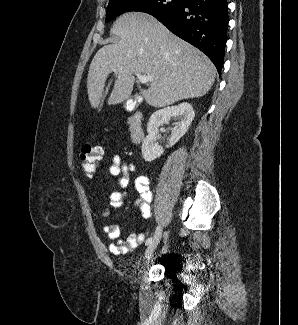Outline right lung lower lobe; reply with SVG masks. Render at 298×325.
<instances>
[{"mask_svg": "<svg viewBox=\"0 0 298 325\" xmlns=\"http://www.w3.org/2000/svg\"><path fill=\"white\" fill-rule=\"evenodd\" d=\"M156 17L172 33L204 52L220 73L227 41V0H186Z\"/></svg>", "mask_w": 298, "mask_h": 325, "instance_id": "obj_1", "label": "right lung lower lobe"}]
</instances>
